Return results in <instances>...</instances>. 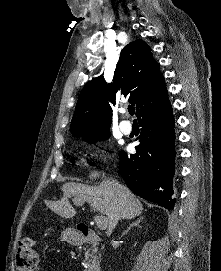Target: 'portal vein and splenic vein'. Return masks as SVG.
Wrapping results in <instances>:
<instances>
[{"mask_svg":"<svg viewBox=\"0 0 221 271\" xmlns=\"http://www.w3.org/2000/svg\"><path fill=\"white\" fill-rule=\"evenodd\" d=\"M94 221H96V225L99 229H106L109 223L108 217H105V215H96Z\"/></svg>","mask_w":221,"mask_h":271,"instance_id":"obj_1","label":"portal vein and splenic vein"}]
</instances>
